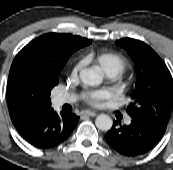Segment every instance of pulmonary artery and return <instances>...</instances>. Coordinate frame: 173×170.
I'll use <instances>...</instances> for the list:
<instances>
[{"mask_svg":"<svg viewBox=\"0 0 173 170\" xmlns=\"http://www.w3.org/2000/svg\"><path fill=\"white\" fill-rule=\"evenodd\" d=\"M105 73L107 74L108 77H113L116 72L114 69L110 66H105L103 67ZM81 96L73 93H65L62 94L58 97V100L60 103H73L77 101Z\"/></svg>","mask_w":173,"mask_h":170,"instance_id":"e3ab8cb5","label":"pulmonary artery"}]
</instances>
